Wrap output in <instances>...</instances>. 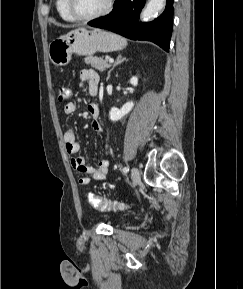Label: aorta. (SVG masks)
Masks as SVG:
<instances>
[{"label": "aorta", "mask_w": 243, "mask_h": 289, "mask_svg": "<svg viewBox=\"0 0 243 289\" xmlns=\"http://www.w3.org/2000/svg\"><path fill=\"white\" fill-rule=\"evenodd\" d=\"M165 1L166 0H149L145 9L141 13V19L147 21L154 18L164 7Z\"/></svg>", "instance_id": "1"}]
</instances>
